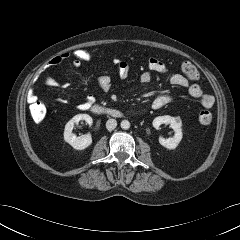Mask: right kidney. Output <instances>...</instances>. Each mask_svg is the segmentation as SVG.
<instances>
[{
  "label": "right kidney",
  "mask_w": 240,
  "mask_h": 240,
  "mask_svg": "<svg viewBox=\"0 0 240 240\" xmlns=\"http://www.w3.org/2000/svg\"><path fill=\"white\" fill-rule=\"evenodd\" d=\"M81 120L86 121L89 125L93 123L92 117L88 114H77L67 122L64 129L65 142L69 143L76 150H84L92 144L91 134L76 136L72 133L75 124Z\"/></svg>",
  "instance_id": "obj_1"
}]
</instances>
